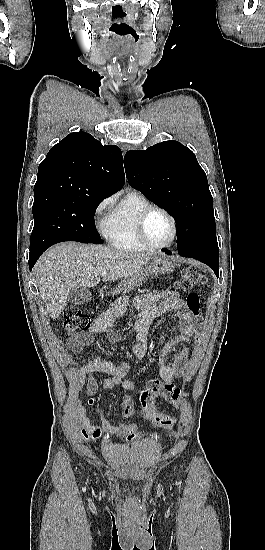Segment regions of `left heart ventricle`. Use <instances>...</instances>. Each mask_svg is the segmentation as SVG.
<instances>
[{
    "instance_id": "b2bd125f",
    "label": "left heart ventricle",
    "mask_w": 265,
    "mask_h": 550,
    "mask_svg": "<svg viewBox=\"0 0 265 550\" xmlns=\"http://www.w3.org/2000/svg\"><path fill=\"white\" fill-rule=\"evenodd\" d=\"M146 232L152 243L156 245L165 244L172 237L171 222L162 212L154 211L147 219Z\"/></svg>"
}]
</instances>
